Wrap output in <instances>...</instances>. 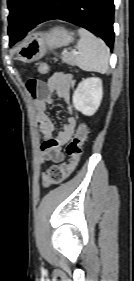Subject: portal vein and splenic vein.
<instances>
[{"mask_svg": "<svg viewBox=\"0 0 134 281\" xmlns=\"http://www.w3.org/2000/svg\"><path fill=\"white\" fill-rule=\"evenodd\" d=\"M72 53H73L74 55H77V54H78V52H77L76 50H73Z\"/></svg>", "mask_w": 134, "mask_h": 281, "instance_id": "obj_1", "label": "portal vein and splenic vein"}]
</instances>
